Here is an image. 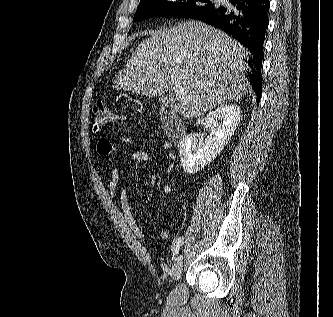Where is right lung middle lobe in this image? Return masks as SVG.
<instances>
[{
	"mask_svg": "<svg viewBox=\"0 0 333 317\" xmlns=\"http://www.w3.org/2000/svg\"><path fill=\"white\" fill-rule=\"evenodd\" d=\"M215 5L209 0H140L134 20L153 16L193 18Z\"/></svg>",
	"mask_w": 333,
	"mask_h": 317,
	"instance_id": "obj_1",
	"label": "right lung middle lobe"
}]
</instances>
